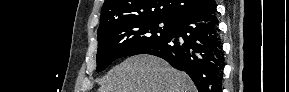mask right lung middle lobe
<instances>
[{"instance_id":"1","label":"right lung middle lobe","mask_w":289,"mask_h":92,"mask_svg":"<svg viewBox=\"0 0 289 92\" xmlns=\"http://www.w3.org/2000/svg\"><path fill=\"white\" fill-rule=\"evenodd\" d=\"M161 23H164L163 28L159 26ZM171 32L172 22L157 18L122 21L97 32L96 71L104 70L117 58L138 54L164 40Z\"/></svg>"}]
</instances>
